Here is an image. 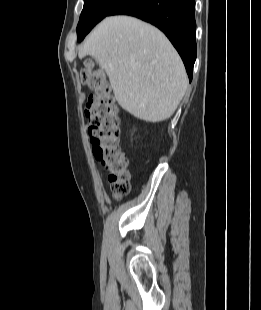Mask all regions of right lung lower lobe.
<instances>
[{"label": "right lung lower lobe", "mask_w": 261, "mask_h": 310, "mask_svg": "<svg viewBox=\"0 0 261 310\" xmlns=\"http://www.w3.org/2000/svg\"><path fill=\"white\" fill-rule=\"evenodd\" d=\"M118 14L135 16L163 31L180 54L192 80L197 50L195 0H124L108 16ZM90 30H86L84 37Z\"/></svg>", "instance_id": "obj_1"}]
</instances>
